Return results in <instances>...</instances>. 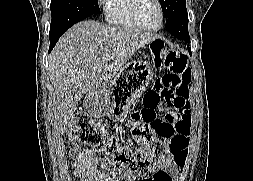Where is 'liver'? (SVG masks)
Wrapping results in <instances>:
<instances>
[{
    "mask_svg": "<svg viewBox=\"0 0 253 181\" xmlns=\"http://www.w3.org/2000/svg\"><path fill=\"white\" fill-rule=\"evenodd\" d=\"M157 38L149 32L92 20L73 25L48 56L57 131H66L84 94L105 87L135 51Z\"/></svg>",
    "mask_w": 253,
    "mask_h": 181,
    "instance_id": "liver-1",
    "label": "liver"
}]
</instances>
